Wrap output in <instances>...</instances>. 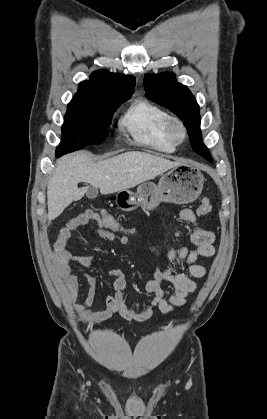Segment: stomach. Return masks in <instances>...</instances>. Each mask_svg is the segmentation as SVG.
<instances>
[{
    "label": "stomach",
    "instance_id": "0dacf381",
    "mask_svg": "<svg viewBox=\"0 0 267 419\" xmlns=\"http://www.w3.org/2000/svg\"><path fill=\"white\" fill-rule=\"evenodd\" d=\"M203 184L204 177L197 166L181 163L161 175L158 185L145 181L138 186L135 193L128 189L119 191L116 203L126 212L137 207L153 210L161 202L187 204L200 195Z\"/></svg>",
    "mask_w": 267,
    "mask_h": 419
}]
</instances>
